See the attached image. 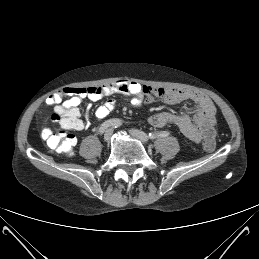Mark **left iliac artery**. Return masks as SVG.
I'll use <instances>...</instances> for the list:
<instances>
[{
  "instance_id": "obj_1",
  "label": "left iliac artery",
  "mask_w": 259,
  "mask_h": 259,
  "mask_svg": "<svg viewBox=\"0 0 259 259\" xmlns=\"http://www.w3.org/2000/svg\"><path fill=\"white\" fill-rule=\"evenodd\" d=\"M151 133H158L161 136V138H165V137H168L170 135V132H168V131L151 132Z\"/></svg>"
}]
</instances>
